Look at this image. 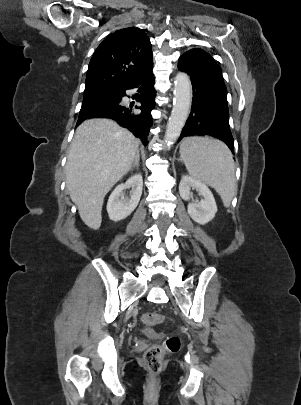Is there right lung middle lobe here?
<instances>
[{
  "mask_svg": "<svg viewBox=\"0 0 301 405\" xmlns=\"http://www.w3.org/2000/svg\"><path fill=\"white\" fill-rule=\"evenodd\" d=\"M120 94V91L113 89L85 90L81 110H89L104 104L112 103L120 97Z\"/></svg>",
  "mask_w": 301,
  "mask_h": 405,
  "instance_id": "obj_1",
  "label": "right lung middle lobe"
}]
</instances>
